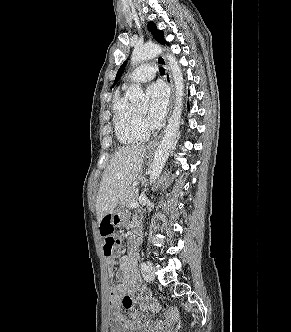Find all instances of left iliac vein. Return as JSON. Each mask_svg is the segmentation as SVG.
I'll return each mask as SVG.
<instances>
[{
	"instance_id": "1",
	"label": "left iliac vein",
	"mask_w": 291,
	"mask_h": 332,
	"mask_svg": "<svg viewBox=\"0 0 291 332\" xmlns=\"http://www.w3.org/2000/svg\"><path fill=\"white\" fill-rule=\"evenodd\" d=\"M146 277L150 281H153L155 278L154 268L151 262L147 263Z\"/></svg>"
}]
</instances>
